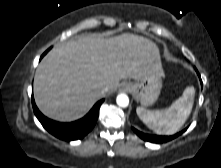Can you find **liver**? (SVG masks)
<instances>
[{
    "label": "liver",
    "instance_id": "6515ba94",
    "mask_svg": "<svg viewBox=\"0 0 221 168\" xmlns=\"http://www.w3.org/2000/svg\"><path fill=\"white\" fill-rule=\"evenodd\" d=\"M157 69H162L159 49L147 38L129 33L108 39L78 36L43 58L35 73L34 97L47 117L74 121L103 97V88L111 93L120 80H140Z\"/></svg>",
    "mask_w": 221,
    "mask_h": 168
}]
</instances>
